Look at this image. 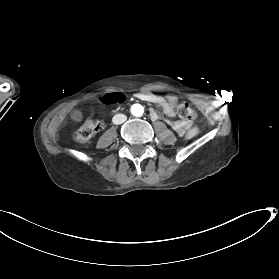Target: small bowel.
<instances>
[{"label":"small bowel","instance_id":"c3829d8e","mask_svg":"<svg viewBox=\"0 0 279 279\" xmlns=\"http://www.w3.org/2000/svg\"><path fill=\"white\" fill-rule=\"evenodd\" d=\"M137 96L140 99L154 103L161 107L164 114L167 117L168 123L171 125L173 130L180 136H183L187 130L191 127V123L185 120H175V108L178 104V99L174 95H168L167 97H162L152 92H141ZM150 116L152 119L156 120L159 115L156 111L151 110Z\"/></svg>","mask_w":279,"mask_h":279}]
</instances>
